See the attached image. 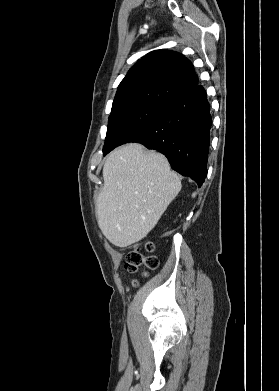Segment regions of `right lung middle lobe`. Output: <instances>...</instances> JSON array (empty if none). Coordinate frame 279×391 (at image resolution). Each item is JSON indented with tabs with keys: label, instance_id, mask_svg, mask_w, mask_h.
<instances>
[{
	"label": "right lung middle lobe",
	"instance_id": "obj_1",
	"mask_svg": "<svg viewBox=\"0 0 279 391\" xmlns=\"http://www.w3.org/2000/svg\"><path fill=\"white\" fill-rule=\"evenodd\" d=\"M161 105H135L112 111L103 147L106 155L115 147L126 143L134 134L147 127L161 110Z\"/></svg>",
	"mask_w": 279,
	"mask_h": 391
}]
</instances>
